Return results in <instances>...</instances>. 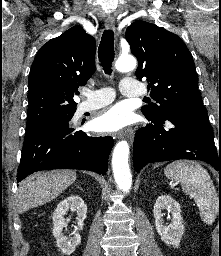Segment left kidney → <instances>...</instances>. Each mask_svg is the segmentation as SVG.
I'll list each match as a JSON object with an SVG mask.
<instances>
[{
  "label": "left kidney",
  "instance_id": "1",
  "mask_svg": "<svg viewBox=\"0 0 221 256\" xmlns=\"http://www.w3.org/2000/svg\"><path fill=\"white\" fill-rule=\"evenodd\" d=\"M167 209L171 212V223L164 225L162 210ZM155 226L161 240L168 246L178 247L184 234V225L181 216V207L169 195H161L157 198L154 205Z\"/></svg>",
  "mask_w": 221,
  "mask_h": 256
}]
</instances>
